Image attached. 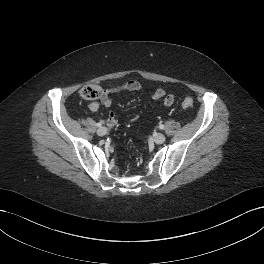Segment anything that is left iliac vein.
I'll return each instance as SVG.
<instances>
[{
    "instance_id": "1",
    "label": "left iliac vein",
    "mask_w": 264,
    "mask_h": 264,
    "mask_svg": "<svg viewBox=\"0 0 264 264\" xmlns=\"http://www.w3.org/2000/svg\"><path fill=\"white\" fill-rule=\"evenodd\" d=\"M153 139H154V142H155L156 144H162V143L165 142L166 137H165L164 134H162V133H158V134H156V135L153 137Z\"/></svg>"
}]
</instances>
